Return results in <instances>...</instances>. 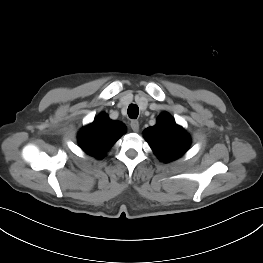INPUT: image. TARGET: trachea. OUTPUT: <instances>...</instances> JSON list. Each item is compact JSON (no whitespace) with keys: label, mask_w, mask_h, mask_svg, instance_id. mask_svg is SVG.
<instances>
[{"label":"trachea","mask_w":263,"mask_h":263,"mask_svg":"<svg viewBox=\"0 0 263 263\" xmlns=\"http://www.w3.org/2000/svg\"><path fill=\"white\" fill-rule=\"evenodd\" d=\"M127 113L131 119H136L139 114L138 106L136 104H130Z\"/></svg>","instance_id":"3493384b"}]
</instances>
